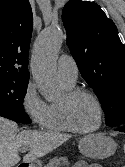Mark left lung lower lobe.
<instances>
[{
  "mask_svg": "<svg viewBox=\"0 0 125 167\" xmlns=\"http://www.w3.org/2000/svg\"><path fill=\"white\" fill-rule=\"evenodd\" d=\"M115 130H116V131L125 132V125H123V126H118V127H115Z\"/></svg>",
  "mask_w": 125,
  "mask_h": 167,
  "instance_id": "obj_1",
  "label": "left lung lower lobe"
}]
</instances>
